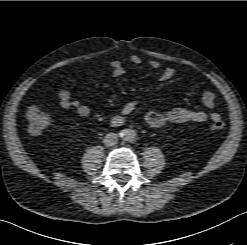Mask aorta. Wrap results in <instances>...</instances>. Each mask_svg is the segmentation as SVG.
Wrapping results in <instances>:
<instances>
[{
	"instance_id": "1",
	"label": "aorta",
	"mask_w": 247,
	"mask_h": 245,
	"mask_svg": "<svg viewBox=\"0 0 247 245\" xmlns=\"http://www.w3.org/2000/svg\"><path fill=\"white\" fill-rule=\"evenodd\" d=\"M121 138L124 141H128V142H132L136 139L137 134L134 130L132 129H124L121 134H120Z\"/></svg>"
}]
</instances>
